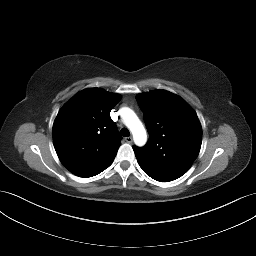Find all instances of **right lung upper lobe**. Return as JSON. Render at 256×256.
Listing matches in <instances>:
<instances>
[{"label": "right lung upper lobe", "instance_id": "obj_1", "mask_svg": "<svg viewBox=\"0 0 256 256\" xmlns=\"http://www.w3.org/2000/svg\"><path fill=\"white\" fill-rule=\"evenodd\" d=\"M118 94L100 88L77 93L58 113L53 124V142L61 163L73 174L113 161L121 138L111 109Z\"/></svg>", "mask_w": 256, "mask_h": 256}]
</instances>
